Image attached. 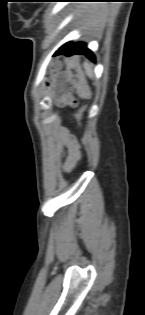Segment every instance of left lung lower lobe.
Returning <instances> with one entry per match:
<instances>
[{
	"instance_id": "obj_1",
	"label": "left lung lower lobe",
	"mask_w": 145,
	"mask_h": 315,
	"mask_svg": "<svg viewBox=\"0 0 145 315\" xmlns=\"http://www.w3.org/2000/svg\"><path fill=\"white\" fill-rule=\"evenodd\" d=\"M64 54L66 56H72L74 54L86 55L92 61H95V56L92 51L89 50L85 43L82 42H68L61 46L54 55Z\"/></svg>"
}]
</instances>
